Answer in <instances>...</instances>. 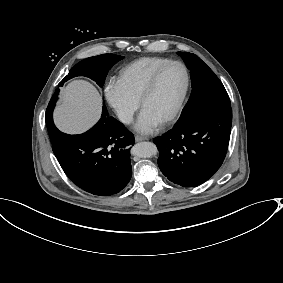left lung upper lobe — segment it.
<instances>
[{
	"mask_svg": "<svg viewBox=\"0 0 283 283\" xmlns=\"http://www.w3.org/2000/svg\"><path fill=\"white\" fill-rule=\"evenodd\" d=\"M190 69L192 93L177 123L209 109L231 107L228 94L214 72L196 55L177 52Z\"/></svg>",
	"mask_w": 283,
	"mask_h": 283,
	"instance_id": "5c2ea615",
	"label": "left lung upper lobe"
}]
</instances>
